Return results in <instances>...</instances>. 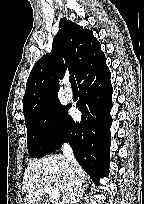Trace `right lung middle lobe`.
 I'll use <instances>...</instances> for the list:
<instances>
[{
	"label": "right lung middle lobe",
	"mask_w": 144,
	"mask_h": 204,
	"mask_svg": "<svg viewBox=\"0 0 144 204\" xmlns=\"http://www.w3.org/2000/svg\"><path fill=\"white\" fill-rule=\"evenodd\" d=\"M68 109L67 106L61 105L59 99H55L25 118L27 148L30 157L41 158L50 153L53 145L60 138ZM49 122L55 124L54 132L48 130Z\"/></svg>",
	"instance_id": "obj_1"
}]
</instances>
